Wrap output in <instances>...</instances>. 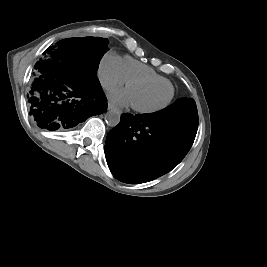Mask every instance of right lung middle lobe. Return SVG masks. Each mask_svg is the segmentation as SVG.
<instances>
[{
  "label": "right lung middle lobe",
  "instance_id": "obj_1",
  "mask_svg": "<svg viewBox=\"0 0 267 267\" xmlns=\"http://www.w3.org/2000/svg\"><path fill=\"white\" fill-rule=\"evenodd\" d=\"M108 40L101 37L67 38L57 42L55 49H63L71 53L77 63L89 75L97 76L99 63L108 51Z\"/></svg>",
  "mask_w": 267,
  "mask_h": 267
}]
</instances>
